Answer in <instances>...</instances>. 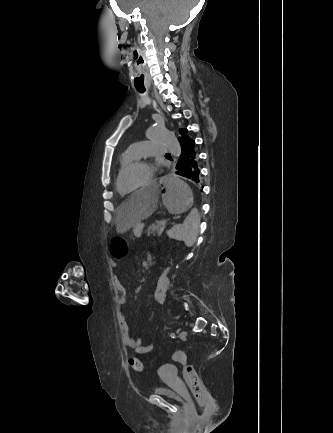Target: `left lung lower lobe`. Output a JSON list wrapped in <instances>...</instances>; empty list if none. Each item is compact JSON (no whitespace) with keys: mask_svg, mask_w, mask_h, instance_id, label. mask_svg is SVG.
<instances>
[{"mask_svg":"<svg viewBox=\"0 0 333 433\" xmlns=\"http://www.w3.org/2000/svg\"><path fill=\"white\" fill-rule=\"evenodd\" d=\"M181 153L177 162L175 172L178 175L190 179L193 183H199L198 153L195 150V141L182 138L179 140Z\"/></svg>","mask_w":333,"mask_h":433,"instance_id":"left-lung-lower-lobe-1","label":"left lung lower lobe"}]
</instances>
